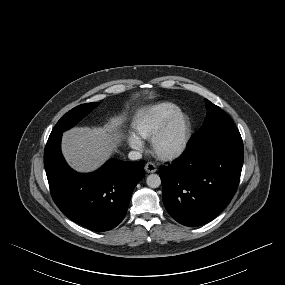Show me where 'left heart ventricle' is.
<instances>
[{
	"label": "left heart ventricle",
	"instance_id": "1",
	"mask_svg": "<svg viewBox=\"0 0 285 285\" xmlns=\"http://www.w3.org/2000/svg\"><path fill=\"white\" fill-rule=\"evenodd\" d=\"M184 130V122L183 120H177L172 127L170 128L167 135L161 142V146L164 149H172L174 148L180 141L181 136Z\"/></svg>",
	"mask_w": 285,
	"mask_h": 285
}]
</instances>
